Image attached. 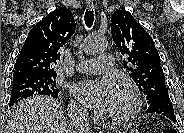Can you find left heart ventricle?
<instances>
[{
    "mask_svg": "<svg viewBox=\"0 0 184 133\" xmlns=\"http://www.w3.org/2000/svg\"><path fill=\"white\" fill-rule=\"evenodd\" d=\"M129 108V103L127 97L118 91L117 98L111 107V109L108 111L109 115H121Z\"/></svg>",
    "mask_w": 184,
    "mask_h": 133,
    "instance_id": "1",
    "label": "left heart ventricle"
}]
</instances>
